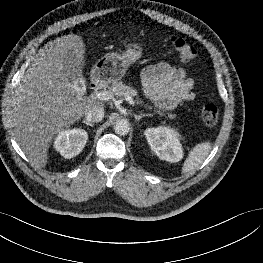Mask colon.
Here are the masks:
<instances>
[{
	"instance_id": "obj_1",
	"label": "colon",
	"mask_w": 263,
	"mask_h": 263,
	"mask_svg": "<svg viewBox=\"0 0 263 263\" xmlns=\"http://www.w3.org/2000/svg\"><path fill=\"white\" fill-rule=\"evenodd\" d=\"M170 41L182 61L190 62L195 59L196 50L188 41L177 36H172ZM200 117L207 126H214L219 118V109L217 105L214 103L203 105L200 111Z\"/></svg>"
}]
</instances>
